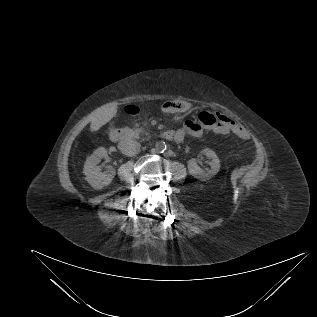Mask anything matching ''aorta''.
Returning a JSON list of instances; mask_svg holds the SVG:
<instances>
[{
  "label": "aorta",
  "mask_w": 317,
  "mask_h": 317,
  "mask_svg": "<svg viewBox=\"0 0 317 317\" xmlns=\"http://www.w3.org/2000/svg\"><path fill=\"white\" fill-rule=\"evenodd\" d=\"M165 149V144L163 142H157L156 143V150L162 151Z\"/></svg>",
  "instance_id": "obj_1"
}]
</instances>
